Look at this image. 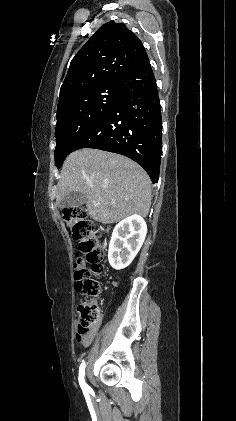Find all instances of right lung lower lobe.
I'll return each instance as SVG.
<instances>
[{
	"mask_svg": "<svg viewBox=\"0 0 236 421\" xmlns=\"http://www.w3.org/2000/svg\"><path fill=\"white\" fill-rule=\"evenodd\" d=\"M121 98L110 112L75 145L127 156L157 183L162 152V117L157 84L150 63L124 76Z\"/></svg>",
	"mask_w": 236,
	"mask_h": 421,
	"instance_id": "1",
	"label": "right lung lower lobe"
}]
</instances>
